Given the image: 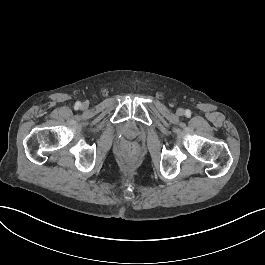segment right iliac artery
<instances>
[{"mask_svg": "<svg viewBox=\"0 0 265 265\" xmlns=\"http://www.w3.org/2000/svg\"><path fill=\"white\" fill-rule=\"evenodd\" d=\"M80 106H81V103L80 102H76L75 109H78Z\"/></svg>", "mask_w": 265, "mask_h": 265, "instance_id": "right-iliac-artery-1", "label": "right iliac artery"}]
</instances>
